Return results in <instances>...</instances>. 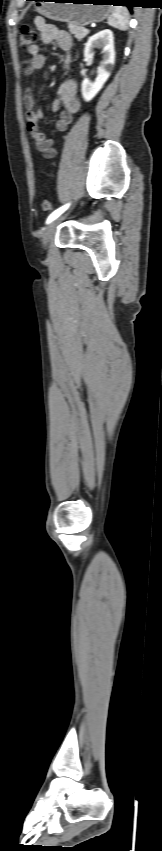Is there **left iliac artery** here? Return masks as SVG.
Masks as SVG:
<instances>
[{"label":"left iliac artery","instance_id":"1","mask_svg":"<svg viewBox=\"0 0 162 851\" xmlns=\"http://www.w3.org/2000/svg\"><path fill=\"white\" fill-rule=\"evenodd\" d=\"M68 207H69V204H66V205H64V206L60 207L59 209L55 210L53 213H51V214L49 215V217L47 218L46 223H50V222H52L54 219H56L57 217H59V216H60V215H61V214H62V213H63V212H64V211L68 208Z\"/></svg>","mask_w":162,"mask_h":851}]
</instances>
